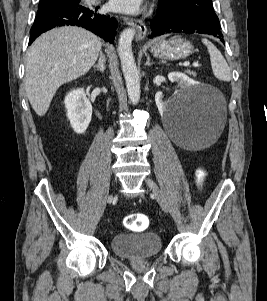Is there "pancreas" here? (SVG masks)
I'll use <instances>...</instances> for the list:
<instances>
[{
    "label": "pancreas",
    "instance_id": "pancreas-1",
    "mask_svg": "<svg viewBox=\"0 0 267 301\" xmlns=\"http://www.w3.org/2000/svg\"><path fill=\"white\" fill-rule=\"evenodd\" d=\"M188 74H190V75H193V76H196V73L195 72H188Z\"/></svg>",
    "mask_w": 267,
    "mask_h": 301
}]
</instances>
